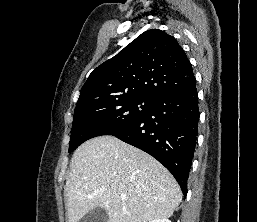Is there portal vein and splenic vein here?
Listing matches in <instances>:
<instances>
[{
  "label": "portal vein and splenic vein",
  "mask_w": 257,
  "mask_h": 222,
  "mask_svg": "<svg viewBox=\"0 0 257 222\" xmlns=\"http://www.w3.org/2000/svg\"><path fill=\"white\" fill-rule=\"evenodd\" d=\"M120 198H121V200H125L127 198V196H126V194H121Z\"/></svg>",
  "instance_id": "1"
}]
</instances>
